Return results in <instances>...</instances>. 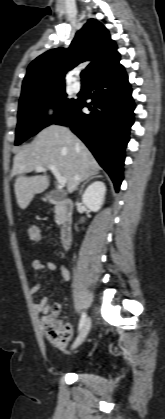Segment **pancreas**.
<instances>
[{"label":"pancreas","instance_id":"pancreas-1","mask_svg":"<svg viewBox=\"0 0 165 419\" xmlns=\"http://www.w3.org/2000/svg\"><path fill=\"white\" fill-rule=\"evenodd\" d=\"M55 220L57 222V224H61V219L58 217V215H55Z\"/></svg>","mask_w":165,"mask_h":419}]
</instances>
